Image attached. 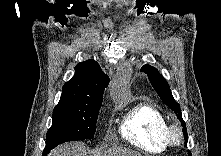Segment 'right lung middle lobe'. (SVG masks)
<instances>
[{
    "label": "right lung middle lobe",
    "mask_w": 221,
    "mask_h": 156,
    "mask_svg": "<svg viewBox=\"0 0 221 156\" xmlns=\"http://www.w3.org/2000/svg\"><path fill=\"white\" fill-rule=\"evenodd\" d=\"M102 100L58 103L53 111L52 126L46 135L43 156L61 143L92 138Z\"/></svg>",
    "instance_id": "dd1d6c3e"
}]
</instances>
